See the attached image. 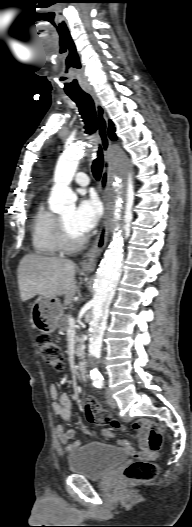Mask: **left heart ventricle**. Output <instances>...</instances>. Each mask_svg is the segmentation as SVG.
Wrapping results in <instances>:
<instances>
[{"label":"left heart ventricle","mask_w":192,"mask_h":527,"mask_svg":"<svg viewBox=\"0 0 192 527\" xmlns=\"http://www.w3.org/2000/svg\"><path fill=\"white\" fill-rule=\"evenodd\" d=\"M73 213H74V210L73 209H69V210L63 212L59 217L62 219L69 237L72 240H77L80 237H82V235L72 225Z\"/></svg>","instance_id":"obj_1"}]
</instances>
